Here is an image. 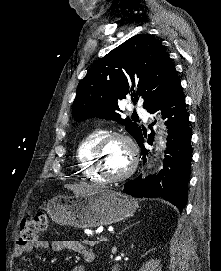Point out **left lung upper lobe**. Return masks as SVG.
I'll list each match as a JSON object with an SVG mask.
<instances>
[{"label":"left lung upper lobe","mask_w":221,"mask_h":271,"mask_svg":"<svg viewBox=\"0 0 221 271\" xmlns=\"http://www.w3.org/2000/svg\"><path fill=\"white\" fill-rule=\"evenodd\" d=\"M180 83L174 65L159 41L138 34L97 61L80 81L73 102L76 121L91 117L115 120L135 139L141 128L129 117L122 119L118 102L128 95L150 112Z\"/></svg>","instance_id":"left-lung-upper-lobe-1"}]
</instances>
